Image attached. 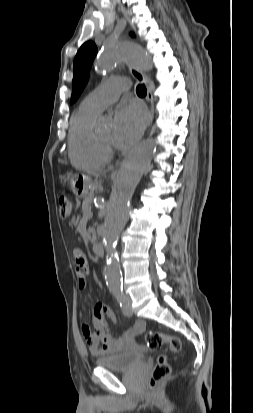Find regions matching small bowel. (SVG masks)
<instances>
[{
	"mask_svg": "<svg viewBox=\"0 0 253 413\" xmlns=\"http://www.w3.org/2000/svg\"><path fill=\"white\" fill-rule=\"evenodd\" d=\"M76 263L80 269L76 272L77 285L80 290L86 288V260L83 253L73 251ZM106 317L113 325L116 324L113 313L104 304L97 303L94 307L92 327L82 325V333L92 355L99 356L123 351L136 346L137 338L144 332L145 323L138 320L121 336H115L106 322Z\"/></svg>",
	"mask_w": 253,
	"mask_h": 413,
	"instance_id": "1",
	"label": "small bowel"
}]
</instances>
